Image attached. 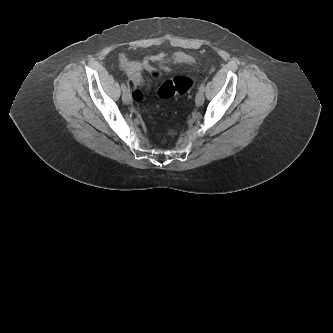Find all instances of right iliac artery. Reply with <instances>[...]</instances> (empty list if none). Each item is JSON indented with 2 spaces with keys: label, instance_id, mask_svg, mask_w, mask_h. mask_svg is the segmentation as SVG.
Segmentation results:
<instances>
[{
  "label": "right iliac artery",
  "instance_id": "right-iliac-artery-1",
  "mask_svg": "<svg viewBox=\"0 0 333 333\" xmlns=\"http://www.w3.org/2000/svg\"><path fill=\"white\" fill-rule=\"evenodd\" d=\"M121 89L123 90V92H125L127 90V87H126L125 83L121 84Z\"/></svg>",
  "mask_w": 333,
  "mask_h": 333
}]
</instances>
